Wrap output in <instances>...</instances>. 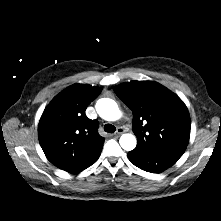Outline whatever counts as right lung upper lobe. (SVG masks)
<instances>
[{
	"label": "right lung upper lobe",
	"instance_id": "1",
	"mask_svg": "<svg viewBox=\"0 0 221 221\" xmlns=\"http://www.w3.org/2000/svg\"><path fill=\"white\" fill-rule=\"evenodd\" d=\"M100 87L75 84L60 92L45 108L38 126L40 145L47 159L69 173L91 166L100 156L104 138L98 122L85 115Z\"/></svg>",
	"mask_w": 221,
	"mask_h": 221
}]
</instances>
